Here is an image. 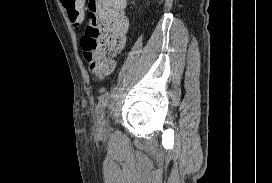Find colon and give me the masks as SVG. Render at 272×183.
Returning <instances> with one entry per match:
<instances>
[{"instance_id":"1","label":"colon","mask_w":272,"mask_h":183,"mask_svg":"<svg viewBox=\"0 0 272 183\" xmlns=\"http://www.w3.org/2000/svg\"><path fill=\"white\" fill-rule=\"evenodd\" d=\"M75 26L85 23L81 49L90 70L106 74L123 49L128 21L126 0H61Z\"/></svg>"}]
</instances>
